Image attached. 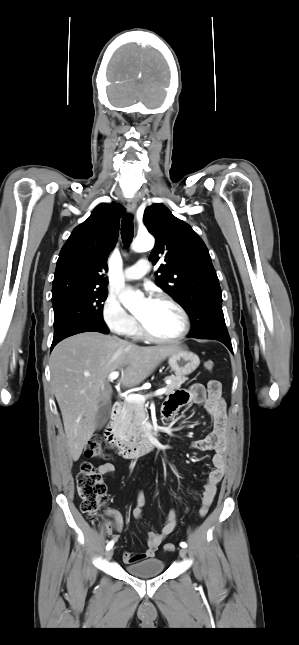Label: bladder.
Wrapping results in <instances>:
<instances>
[{
	"label": "bladder",
	"mask_w": 299,
	"mask_h": 645,
	"mask_svg": "<svg viewBox=\"0 0 299 645\" xmlns=\"http://www.w3.org/2000/svg\"><path fill=\"white\" fill-rule=\"evenodd\" d=\"M164 568L165 564L161 559L151 558L126 565L125 570L132 576L151 577L161 574L164 571Z\"/></svg>",
	"instance_id": "31cf9c89"
}]
</instances>
